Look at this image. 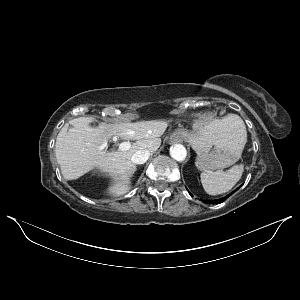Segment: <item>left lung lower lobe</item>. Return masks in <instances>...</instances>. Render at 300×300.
<instances>
[{
  "instance_id": "left-lung-lower-lobe-1",
  "label": "left lung lower lobe",
  "mask_w": 300,
  "mask_h": 300,
  "mask_svg": "<svg viewBox=\"0 0 300 300\" xmlns=\"http://www.w3.org/2000/svg\"><path fill=\"white\" fill-rule=\"evenodd\" d=\"M236 191V190H235ZM233 194V192L231 193V194H229L228 196H225V197H223V198H220V199H218V200H202L204 203H207V204H219V203H222V202H224L226 199H227V197H229L230 195H232ZM190 195H191V193H190ZM192 196V195H191Z\"/></svg>"
}]
</instances>
